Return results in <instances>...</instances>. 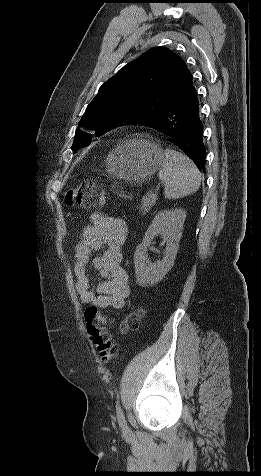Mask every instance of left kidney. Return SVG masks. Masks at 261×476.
Returning <instances> with one entry per match:
<instances>
[{
  "label": "left kidney",
  "mask_w": 261,
  "mask_h": 476,
  "mask_svg": "<svg viewBox=\"0 0 261 476\" xmlns=\"http://www.w3.org/2000/svg\"><path fill=\"white\" fill-rule=\"evenodd\" d=\"M185 218L184 209L163 210L153 218L134 253L135 275L140 286L157 284L174 265ZM157 235H161L166 242V249L162 260L151 263L147 249Z\"/></svg>",
  "instance_id": "5707ae66"
}]
</instances>
